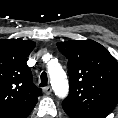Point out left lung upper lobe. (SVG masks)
<instances>
[{
    "label": "left lung upper lobe",
    "mask_w": 118,
    "mask_h": 118,
    "mask_svg": "<svg viewBox=\"0 0 118 118\" xmlns=\"http://www.w3.org/2000/svg\"><path fill=\"white\" fill-rule=\"evenodd\" d=\"M68 59L70 91L62 102L70 118H105L118 101V63L92 40L57 43Z\"/></svg>",
    "instance_id": "left-lung-upper-lobe-1"
}]
</instances>
